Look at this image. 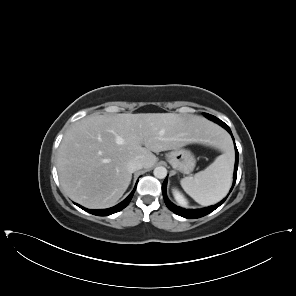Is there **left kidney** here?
I'll return each instance as SVG.
<instances>
[{"instance_id":"obj_1","label":"left kidney","mask_w":296,"mask_h":296,"mask_svg":"<svg viewBox=\"0 0 296 296\" xmlns=\"http://www.w3.org/2000/svg\"><path fill=\"white\" fill-rule=\"evenodd\" d=\"M172 193H173V196H174L175 200L180 205H186L187 204L186 199L184 198V196L182 195V193L177 188H173L172 189Z\"/></svg>"}]
</instances>
